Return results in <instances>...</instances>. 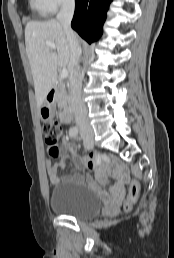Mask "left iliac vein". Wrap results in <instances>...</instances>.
<instances>
[{
	"mask_svg": "<svg viewBox=\"0 0 174 258\" xmlns=\"http://www.w3.org/2000/svg\"><path fill=\"white\" fill-rule=\"evenodd\" d=\"M83 144L86 149H92L94 146V141H93L92 135L84 137Z\"/></svg>",
	"mask_w": 174,
	"mask_h": 258,
	"instance_id": "obj_1",
	"label": "left iliac vein"
}]
</instances>
